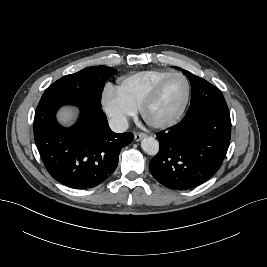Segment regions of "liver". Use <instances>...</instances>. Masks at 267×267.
I'll use <instances>...</instances> for the list:
<instances>
[{
	"label": "liver",
	"instance_id": "liver-1",
	"mask_svg": "<svg viewBox=\"0 0 267 267\" xmlns=\"http://www.w3.org/2000/svg\"><path fill=\"white\" fill-rule=\"evenodd\" d=\"M74 118V111L69 108H63L58 112V119L62 124H69Z\"/></svg>",
	"mask_w": 267,
	"mask_h": 267
}]
</instances>
